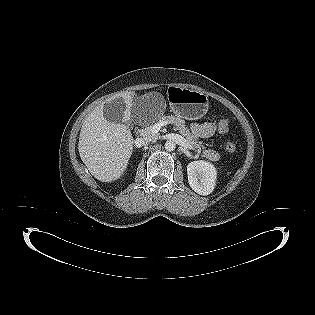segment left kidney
Segmentation results:
<instances>
[{"mask_svg": "<svg viewBox=\"0 0 315 315\" xmlns=\"http://www.w3.org/2000/svg\"><path fill=\"white\" fill-rule=\"evenodd\" d=\"M188 183L200 195H209L215 188L217 171L214 165L203 160L187 166Z\"/></svg>", "mask_w": 315, "mask_h": 315, "instance_id": "left-kidney-1", "label": "left kidney"}]
</instances>
